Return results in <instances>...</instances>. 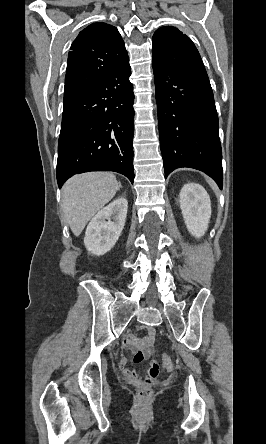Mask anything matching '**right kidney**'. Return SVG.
<instances>
[{
	"instance_id": "1",
	"label": "right kidney",
	"mask_w": 266,
	"mask_h": 444,
	"mask_svg": "<svg viewBox=\"0 0 266 444\" xmlns=\"http://www.w3.org/2000/svg\"><path fill=\"white\" fill-rule=\"evenodd\" d=\"M127 210V200L119 197L93 217L84 238L85 247L90 253L99 256L111 250L121 235Z\"/></svg>"
}]
</instances>
